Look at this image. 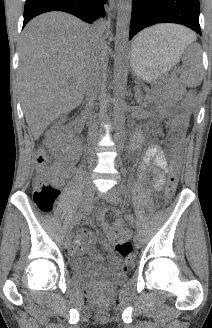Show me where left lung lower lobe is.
<instances>
[{
    "label": "left lung lower lobe",
    "instance_id": "left-lung-lower-lobe-1",
    "mask_svg": "<svg viewBox=\"0 0 212 328\" xmlns=\"http://www.w3.org/2000/svg\"><path fill=\"white\" fill-rule=\"evenodd\" d=\"M199 10V0H132L129 40L158 23L182 24L201 35Z\"/></svg>",
    "mask_w": 212,
    "mask_h": 328
}]
</instances>
